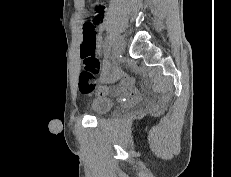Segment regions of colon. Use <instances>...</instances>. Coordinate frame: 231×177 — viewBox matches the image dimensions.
Here are the masks:
<instances>
[{
    "label": "colon",
    "instance_id": "colon-1",
    "mask_svg": "<svg viewBox=\"0 0 231 177\" xmlns=\"http://www.w3.org/2000/svg\"><path fill=\"white\" fill-rule=\"evenodd\" d=\"M97 30L92 23L83 26V43L80 49V56L83 62V70L79 76V90L84 93H91L98 89L100 92L109 90L108 86H98L95 76L100 65L96 58Z\"/></svg>",
    "mask_w": 231,
    "mask_h": 177
}]
</instances>
